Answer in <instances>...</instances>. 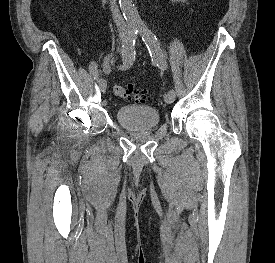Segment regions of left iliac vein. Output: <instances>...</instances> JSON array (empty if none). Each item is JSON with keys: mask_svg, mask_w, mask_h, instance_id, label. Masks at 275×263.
<instances>
[{"mask_svg": "<svg viewBox=\"0 0 275 263\" xmlns=\"http://www.w3.org/2000/svg\"><path fill=\"white\" fill-rule=\"evenodd\" d=\"M174 100H175V94L168 92L164 95V101L166 103L171 104L174 102Z\"/></svg>", "mask_w": 275, "mask_h": 263, "instance_id": "obj_1", "label": "left iliac vein"}]
</instances>
